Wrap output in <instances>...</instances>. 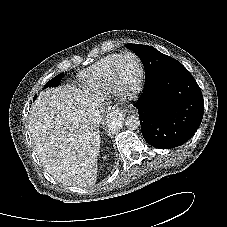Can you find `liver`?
<instances>
[{
    "label": "liver",
    "instance_id": "obj_1",
    "mask_svg": "<svg viewBox=\"0 0 227 227\" xmlns=\"http://www.w3.org/2000/svg\"><path fill=\"white\" fill-rule=\"evenodd\" d=\"M102 102L98 91L64 86L41 92L33 103L29 132L35 151L58 182L78 187L95 184Z\"/></svg>",
    "mask_w": 227,
    "mask_h": 227
}]
</instances>
